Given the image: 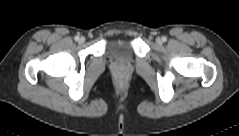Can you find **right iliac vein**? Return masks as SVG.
<instances>
[{
  "label": "right iliac vein",
  "instance_id": "63e3f726",
  "mask_svg": "<svg viewBox=\"0 0 239 136\" xmlns=\"http://www.w3.org/2000/svg\"><path fill=\"white\" fill-rule=\"evenodd\" d=\"M85 42V38L84 37H81L80 39H79V43H84Z\"/></svg>",
  "mask_w": 239,
  "mask_h": 136
}]
</instances>
